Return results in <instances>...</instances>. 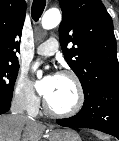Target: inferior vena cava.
Returning <instances> with one entry per match:
<instances>
[{"label": "inferior vena cava", "instance_id": "obj_1", "mask_svg": "<svg viewBox=\"0 0 119 141\" xmlns=\"http://www.w3.org/2000/svg\"><path fill=\"white\" fill-rule=\"evenodd\" d=\"M28 103V99L24 97H15L11 103V112L13 115H21L24 113L25 105ZM28 118V117H27ZM31 119V118H29Z\"/></svg>", "mask_w": 119, "mask_h": 141}]
</instances>
